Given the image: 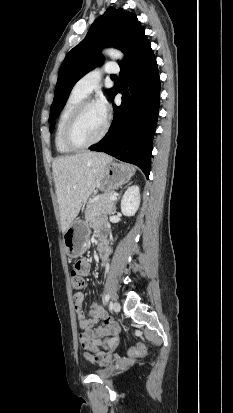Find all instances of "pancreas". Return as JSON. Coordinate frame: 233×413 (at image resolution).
<instances>
[{
  "label": "pancreas",
  "instance_id": "obj_1",
  "mask_svg": "<svg viewBox=\"0 0 233 413\" xmlns=\"http://www.w3.org/2000/svg\"><path fill=\"white\" fill-rule=\"evenodd\" d=\"M111 195H113L112 192L102 194L97 200L87 206L85 211L86 222L99 215L112 214L114 201L109 198Z\"/></svg>",
  "mask_w": 233,
  "mask_h": 413
}]
</instances>
